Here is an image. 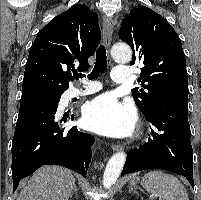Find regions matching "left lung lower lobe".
Wrapping results in <instances>:
<instances>
[{
	"label": "left lung lower lobe",
	"mask_w": 201,
	"mask_h": 200,
	"mask_svg": "<svg viewBox=\"0 0 201 200\" xmlns=\"http://www.w3.org/2000/svg\"><path fill=\"white\" fill-rule=\"evenodd\" d=\"M187 113V100L168 98L155 102L144 113L153 125L152 137L139 148L130 150L121 176L144 169H164L183 175L194 188Z\"/></svg>",
	"instance_id": "1"
}]
</instances>
